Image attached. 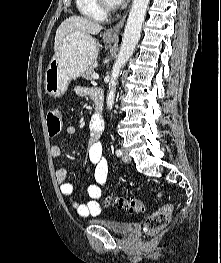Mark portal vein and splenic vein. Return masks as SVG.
<instances>
[{"mask_svg": "<svg viewBox=\"0 0 221 263\" xmlns=\"http://www.w3.org/2000/svg\"><path fill=\"white\" fill-rule=\"evenodd\" d=\"M93 79L98 80L99 79V75L97 73H94L93 74Z\"/></svg>", "mask_w": 221, "mask_h": 263, "instance_id": "18ae733b", "label": "portal vein and splenic vein"}]
</instances>
